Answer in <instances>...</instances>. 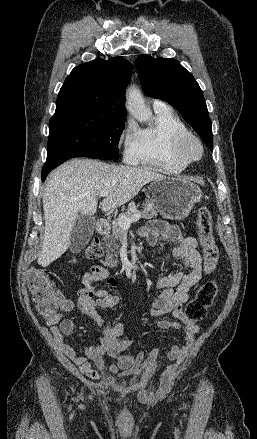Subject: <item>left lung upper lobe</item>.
<instances>
[{"label": "left lung upper lobe", "instance_id": "5c2ea615", "mask_svg": "<svg viewBox=\"0 0 257 439\" xmlns=\"http://www.w3.org/2000/svg\"><path fill=\"white\" fill-rule=\"evenodd\" d=\"M144 92L174 106L213 149L212 125L198 83L175 59L141 55L135 60Z\"/></svg>", "mask_w": 257, "mask_h": 439}]
</instances>
